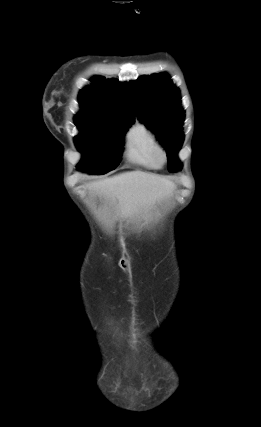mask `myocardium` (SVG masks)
<instances>
[{
	"label": "myocardium",
	"mask_w": 261,
	"mask_h": 427,
	"mask_svg": "<svg viewBox=\"0 0 261 427\" xmlns=\"http://www.w3.org/2000/svg\"><path fill=\"white\" fill-rule=\"evenodd\" d=\"M155 160L158 167H162L167 163L168 155L164 147L158 145L155 150Z\"/></svg>",
	"instance_id": "myocardium-1"
}]
</instances>
